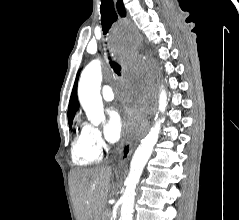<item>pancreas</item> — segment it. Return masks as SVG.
Returning <instances> with one entry per match:
<instances>
[{"mask_svg": "<svg viewBox=\"0 0 239 220\" xmlns=\"http://www.w3.org/2000/svg\"><path fill=\"white\" fill-rule=\"evenodd\" d=\"M109 216H110V212H109L108 209H106V210L103 212L102 220H109Z\"/></svg>", "mask_w": 239, "mask_h": 220, "instance_id": "cf45deb5", "label": "pancreas"}]
</instances>
